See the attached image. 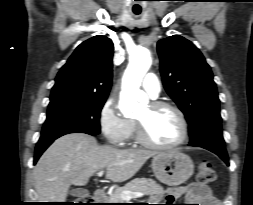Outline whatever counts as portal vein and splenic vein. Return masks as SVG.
<instances>
[{"mask_svg":"<svg viewBox=\"0 0 253 205\" xmlns=\"http://www.w3.org/2000/svg\"><path fill=\"white\" fill-rule=\"evenodd\" d=\"M104 174V171H99L97 175L101 177ZM144 194L142 192H131V191H123L120 194L122 200H131L132 198H140Z\"/></svg>","mask_w":253,"mask_h":205,"instance_id":"18ae733b","label":"portal vein and splenic vein"}]
</instances>
